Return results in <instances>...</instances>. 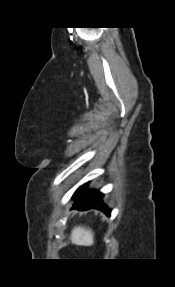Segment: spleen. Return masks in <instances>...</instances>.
Listing matches in <instances>:
<instances>
[{
	"instance_id": "1",
	"label": "spleen",
	"mask_w": 175,
	"mask_h": 287,
	"mask_svg": "<svg viewBox=\"0 0 175 287\" xmlns=\"http://www.w3.org/2000/svg\"><path fill=\"white\" fill-rule=\"evenodd\" d=\"M70 240L76 245L91 246L94 244V233L90 228L75 226L71 232Z\"/></svg>"
}]
</instances>
